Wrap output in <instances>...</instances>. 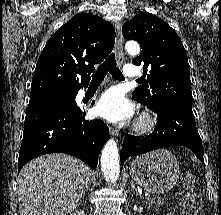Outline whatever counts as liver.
<instances>
[{
	"label": "liver",
	"instance_id": "1",
	"mask_svg": "<svg viewBox=\"0 0 221 215\" xmlns=\"http://www.w3.org/2000/svg\"><path fill=\"white\" fill-rule=\"evenodd\" d=\"M89 176L88 166L67 154L31 160L19 174V215H67L78 207Z\"/></svg>",
	"mask_w": 221,
	"mask_h": 215
}]
</instances>
